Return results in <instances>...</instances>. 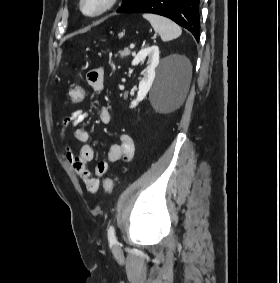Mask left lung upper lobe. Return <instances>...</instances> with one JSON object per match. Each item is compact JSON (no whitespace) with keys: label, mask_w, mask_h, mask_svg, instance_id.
Returning <instances> with one entry per match:
<instances>
[{"label":"left lung upper lobe","mask_w":280,"mask_h":283,"mask_svg":"<svg viewBox=\"0 0 280 283\" xmlns=\"http://www.w3.org/2000/svg\"><path fill=\"white\" fill-rule=\"evenodd\" d=\"M136 1L137 0H123L122 6L118 10V12H122V11L126 10L128 7H130Z\"/></svg>","instance_id":"1"}]
</instances>
